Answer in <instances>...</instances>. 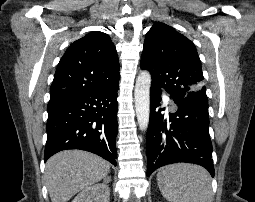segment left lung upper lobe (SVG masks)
Listing matches in <instances>:
<instances>
[{"label":"left lung upper lobe","mask_w":255,"mask_h":202,"mask_svg":"<svg viewBox=\"0 0 255 202\" xmlns=\"http://www.w3.org/2000/svg\"><path fill=\"white\" fill-rule=\"evenodd\" d=\"M140 64L151 73V88H163L171 98L208 106L196 47L174 28L161 22L151 27Z\"/></svg>","instance_id":"5c2ea615"}]
</instances>
